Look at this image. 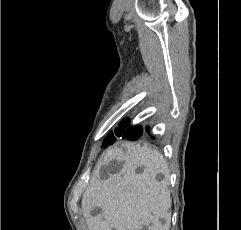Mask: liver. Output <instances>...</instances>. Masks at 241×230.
<instances>
[{"label":"liver","mask_w":241,"mask_h":230,"mask_svg":"<svg viewBox=\"0 0 241 230\" xmlns=\"http://www.w3.org/2000/svg\"><path fill=\"white\" fill-rule=\"evenodd\" d=\"M130 154L108 149L100 166L112 160L122 163L118 173L101 179L93 177L83 194L82 212L89 230H140L152 224V230H169L171 199L167 189L169 172L165 159L156 149L128 144ZM143 172L136 173V167ZM162 173L164 179L157 180ZM96 208L101 212L94 214Z\"/></svg>","instance_id":"6515ba94"}]
</instances>
